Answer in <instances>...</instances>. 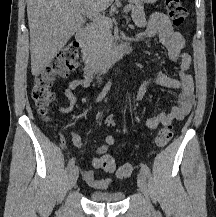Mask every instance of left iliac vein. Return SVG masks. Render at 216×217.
<instances>
[{
    "label": "left iliac vein",
    "mask_w": 216,
    "mask_h": 217,
    "mask_svg": "<svg viewBox=\"0 0 216 217\" xmlns=\"http://www.w3.org/2000/svg\"><path fill=\"white\" fill-rule=\"evenodd\" d=\"M137 183L140 191L144 194L145 198L147 199L148 209L152 211L153 207L148 198L147 179H146V175L142 171H140L137 176Z\"/></svg>",
    "instance_id": "left-iliac-vein-1"
}]
</instances>
